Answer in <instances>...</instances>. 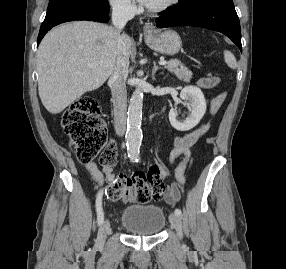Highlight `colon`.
<instances>
[{"label": "colon", "mask_w": 286, "mask_h": 269, "mask_svg": "<svg viewBox=\"0 0 286 269\" xmlns=\"http://www.w3.org/2000/svg\"><path fill=\"white\" fill-rule=\"evenodd\" d=\"M199 83L200 88L206 86V91H217V88H221V78L217 77L199 78ZM213 98L214 100H207L205 110H218V105L225 99V93L214 95ZM61 123L70 139L71 150L79 161L88 163L99 156L102 166L115 165L116 145L108 139L107 128L100 118L99 106L94 97L84 96L73 102L64 112ZM162 168L163 163H150L147 173L117 175L106 190L107 198L120 201L134 196L142 203L151 198H161L165 194Z\"/></svg>", "instance_id": "1"}]
</instances>
